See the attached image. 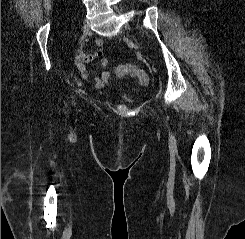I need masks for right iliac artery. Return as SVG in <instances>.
<instances>
[{
	"mask_svg": "<svg viewBox=\"0 0 245 239\" xmlns=\"http://www.w3.org/2000/svg\"><path fill=\"white\" fill-rule=\"evenodd\" d=\"M85 37L86 36H84V35L80 37L79 44H83L84 43ZM72 98H74V97L72 96ZM73 104H74V100H73Z\"/></svg>",
	"mask_w": 245,
	"mask_h": 239,
	"instance_id": "obj_1",
	"label": "right iliac artery"
}]
</instances>
